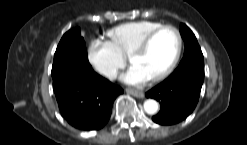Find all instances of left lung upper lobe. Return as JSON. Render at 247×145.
I'll return each mask as SVG.
<instances>
[{"label": "left lung upper lobe", "instance_id": "left-lung-upper-lobe-1", "mask_svg": "<svg viewBox=\"0 0 247 145\" xmlns=\"http://www.w3.org/2000/svg\"><path fill=\"white\" fill-rule=\"evenodd\" d=\"M180 33L185 42V53L182 61L190 58H203L195 35L185 24L180 25Z\"/></svg>", "mask_w": 247, "mask_h": 145}]
</instances>
